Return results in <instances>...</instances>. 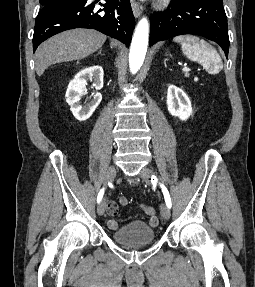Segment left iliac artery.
<instances>
[{"label": "left iliac artery", "instance_id": "left-iliac-artery-1", "mask_svg": "<svg viewBox=\"0 0 255 287\" xmlns=\"http://www.w3.org/2000/svg\"><path fill=\"white\" fill-rule=\"evenodd\" d=\"M152 182H156V177L152 176L151 178ZM161 186V189H162V192H163V195H164V199H165V202H166V205L168 206V208H171V198H170V195H169V192L167 190V188L163 185V184H160Z\"/></svg>", "mask_w": 255, "mask_h": 287}]
</instances>
